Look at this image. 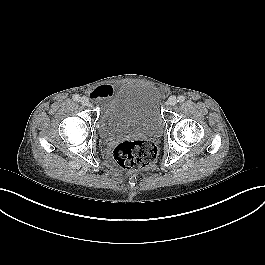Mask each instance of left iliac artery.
I'll return each mask as SVG.
<instances>
[{"label":"left iliac artery","instance_id":"left-iliac-artery-1","mask_svg":"<svg viewBox=\"0 0 265 265\" xmlns=\"http://www.w3.org/2000/svg\"><path fill=\"white\" fill-rule=\"evenodd\" d=\"M184 100H185V97L180 95V96H178L177 102L182 103V102H184Z\"/></svg>","mask_w":265,"mask_h":265}]
</instances>
